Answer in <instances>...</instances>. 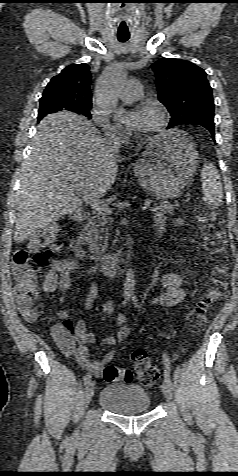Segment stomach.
<instances>
[{
	"mask_svg": "<svg viewBox=\"0 0 238 476\" xmlns=\"http://www.w3.org/2000/svg\"><path fill=\"white\" fill-rule=\"evenodd\" d=\"M199 162L195 145L179 130L154 137L136 162L134 173L144 188L157 198L180 194Z\"/></svg>",
	"mask_w": 238,
	"mask_h": 476,
	"instance_id": "1",
	"label": "stomach"
}]
</instances>
